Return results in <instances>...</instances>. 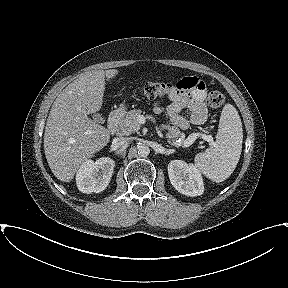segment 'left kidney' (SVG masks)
<instances>
[{
  "label": "left kidney",
  "mask_w": 288,
  "mask_h": 288,
  "mask_svg": "<svg viewBox=\"0 0 288 288\" xmlns=\"http://www.w3.org/2000/svg\"><path fill=\"white\" fill-rule=\"evenodd\" d=\"M168 175L172 186L181 194L195 197L204 192L200 171L193 164L173 160L168 164Z\"/></svg>",
  "instance_id": "1"
}]
</instances>
